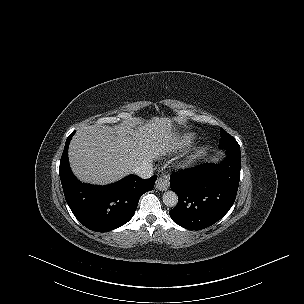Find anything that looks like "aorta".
Instances as JSON below:
<instances>
[{"mask_svg": "<svg viewBox=\"0 0 304 304\" xmlns=\"http://www.w3.org/2000/svg\"><path fill=\"white\" fill-rule=\"evenodd\" d=\"M162 199L167 207H175L178 204V195L172 190L164 192Z\"/></svg>", "mask_w": 304, "mask_h": 304, "instance_id": "762f6f07", "label": "aorta"}]
</instances>
